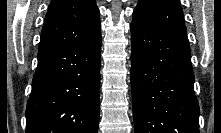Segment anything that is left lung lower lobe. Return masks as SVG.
Instances as JSON below:
<instances>
[{
	"label": "left lung lower lobe",
	"mask_w": 221,
	"mask_h": 133,
	"mask_svg": "<svg viewBox=\"0 0 221 133\" xmlns=\"http://www.w3.org/2000/svg\"><path fill=\"white\" fill-rule=\"evenodd\" d=\"M135 133H199L186 33L131 23Z\"/></svg>",
	"instance_id": "obj_1"
}]
</instances>
